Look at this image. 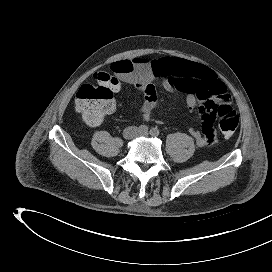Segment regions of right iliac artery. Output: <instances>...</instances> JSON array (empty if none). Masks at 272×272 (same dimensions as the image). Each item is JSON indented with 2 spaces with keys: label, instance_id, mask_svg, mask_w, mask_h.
Returning a JSON list of instances; mask_svg holds the SVG:
<instances>
[{
  "label": "right iliac artery",
  "instance_id": "1",
  "mask_svg": "<svg viewBox=\"0 0 272 272\" xmlns=\"http://www.w3.org/2000/svg\"><path fill=\"white\" fill-rule=\"evenodd\" d=\"M138 131L140 133H147L148 132V127L146 125H140L138 128Z\"/></svg>",
  "mask_w": 272,
  "mask_h": 272
}]
</instances>
